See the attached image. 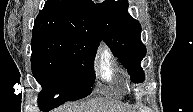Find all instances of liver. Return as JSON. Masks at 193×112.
Returning a JSON list of instances; mask_svg holds the SVG:
<instances>
[{
  "mask_svg": "<svg viewBox=\"0 0 193 112\" xmlns=\"http://www.w3.org/2000/svg\"><path fill=\"white\" fill-rule=\"evenodd\" d=\"M72 112H124V109H121L113 102L104 99H94L75 106Z\"/></svg>",
  "mask_w": 193,
  "mask_h": 112,
  "instance_id": "6515ba94",
  "label": "liver"
}]
</instances>
